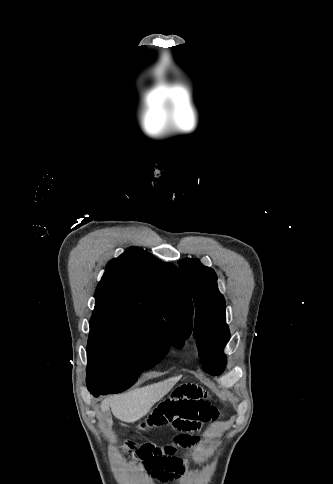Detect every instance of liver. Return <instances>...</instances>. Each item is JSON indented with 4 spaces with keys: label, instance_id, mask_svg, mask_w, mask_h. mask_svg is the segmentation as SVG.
<instances>
[{
    "label": "liver",
    "instance_id": "obj_1",
    "mask_svg": "<svg viewBox=\"0 0 333 484\" xmlns=\"http://www.w3.org/2000/svg\"><path fill=\"white\" fill-rule=\"evenodd\" d=\"M179 379L180 376H175L128 393L111 395L101 402V410L106 412L110 407L116 418L123 422L134 423L146 416ZM108 424L111 427L112 420H108Z\"/></svg>",
    "mask_w": 333,
    "mask_h": 484
}]
</instances>
